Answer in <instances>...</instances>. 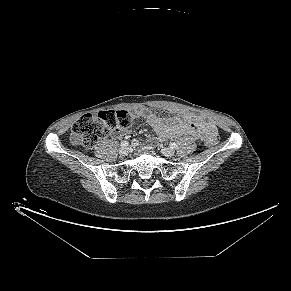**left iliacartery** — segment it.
<instances>
[{
  "instance_id": "obj_1",
  "label": "left iliac artery",
  "mask_w": 291,
  "mask_h": 291,
  "mask_svg": "<svg viewBox=\"0 0 291 291\" xmlns=\"http://www.w3.org/2000/svg\"><path fill=\"white\" fill-rule=\"evenodd\" d=\"M178 147V145L176 143H171L170 144V148L172 149H176Z\"/></svg>"
}]
</instances>
